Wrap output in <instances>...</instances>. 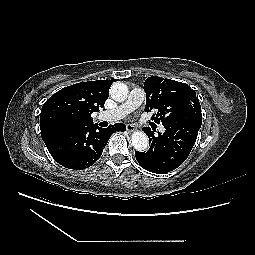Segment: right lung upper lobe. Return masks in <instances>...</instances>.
<instances>
[{
	"label": "right lung upper lobe",
	"mask_w": 255,
	"mask_h": 255,
	"mask_svg": "<svg viewBox=\"0 0 255 255\" xmlns=\"http://www.w3.org/2000/svg\"><path fill=\"white\" fill-rule=\"evenodd\" d=\"M115 80L76 83L52 95L40 115L41 136L45 144L61 133L93 125L91 114L103 108Z\"/></svg>",
	"instance_id": "right-lung-upper-lobe-1"
}]
</instances>
